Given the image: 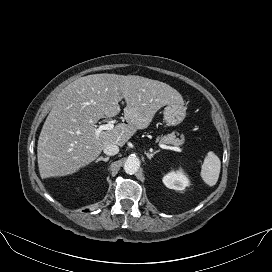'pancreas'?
<instances>
[{
	"label": "pancreas",
	"instance_id": "cf45deb5",
	"mask_svg": "<svg viewBox=\"0 0 272 272\" xmlns=\"http://www.w3.org/2000/svg\"><path fill=\"white\" fill-rule=\"evenodd\" d=\"M157 141L161 144H168V145H174V146H180L184 142V138L182 139L176 138V135L174 132L171 134H168L163 137H158Z\"/></svg>",
	"mask_w": 272,
	"mask_h": 272
}]
</instances>
